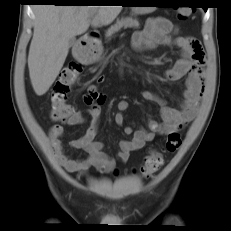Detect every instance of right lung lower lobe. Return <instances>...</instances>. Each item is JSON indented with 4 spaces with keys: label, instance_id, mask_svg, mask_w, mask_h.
<instances>
[{
    "label": "right lung lower lobe",
    "instance_id": "obj_1",
    "mask_svg": "<svg viewBox=\"0 0 231 231\" xmlns=\"http://www.w3.org/2000/svg\"><path fill=\"white\" fill-rule=\"evenodd\" d=\"M33 3H54L55 5H78V3H73L71 0H30Z\"/></svg>",
    "mask_w": 231,
    "mask_h": 231
}]
</instances>
